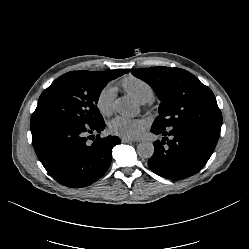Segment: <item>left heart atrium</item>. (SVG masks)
Listing matches in <instances>:
<instances>
[{
    "label": "left heart atrium",
    "mask_w": 249,
    "mask_h": 249,
    "mask_svg": "<svg viewBox=\"0 0 249 249\" xmlns=\"http://www.w3.org/2000/svg\"><path fill=\"white\" fill-rule=\"evenodd\" d=\"M111 132L124 137H137L141 131V121L125 116H116L109 123Z\"/></svg>",
    "instance_id": "1"
}]
</instances>
